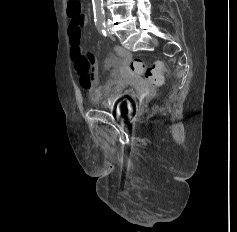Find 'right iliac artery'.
Wrapping results in <instances>:
<instances>
[{
	"label": "right iliac artery",
	"mask_w": 237,
	"mask_h": 232,
	"mask_svg": "<svg viewBox=\"0 0 237 232\" xmlns=\"http://www.w3.org/2000/svg\"><path fill=\"white\" fill-rule=\"evenodd\" d=\"M97 29L99 31L100 34H102L103 36H106V27L105 24H98L97 25Z\"/></svg>",
	"instance_id": "82829eb1"
}]
</instances>
